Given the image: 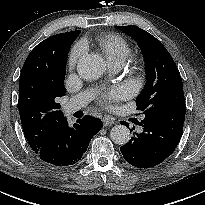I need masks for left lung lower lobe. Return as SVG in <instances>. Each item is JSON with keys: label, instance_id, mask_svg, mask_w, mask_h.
Instances as JSON below:
<instances>
[{"label": "left lung lower lobe", "instance_id": "0a47b994", "mask_svg": "<svg viewBox=\"0 0 205 205\" xmlns=\"http://www.w3.org/2000/svg\"><path fill=\"white\" fill-rule=\"evenodd\" d=\"M185 119V105L161 106L139 122L142 132L135 133L120 150L134 167L150 168L163 162L177 147ZM128 125L126 122H122Z\"/></svg>", "mask_w": 205, "mask_h": 205}]
</instances>
